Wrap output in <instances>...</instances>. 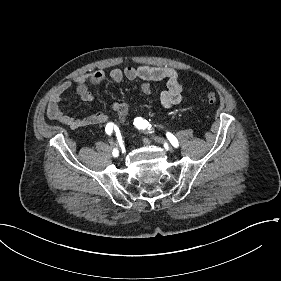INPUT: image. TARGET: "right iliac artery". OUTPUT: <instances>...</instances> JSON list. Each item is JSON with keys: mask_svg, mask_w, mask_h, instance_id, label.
<instances>
[{"mask_svg": "<svg viewBox=\"0 0 281 281\" xmlns=\"http://www.w3.org/2000/svg\"><path fill=\"white\" fill-rule=\"evenodd\" d=\"M113 128H115V125L113 123H108L105 128L106 133L111 135ZM113 155L114 157L118 156V150L116 148L113 150Z\"/></svg>", "mask_w": 281, "mask_h": 281, "instance_id": "obj_1", "label": "right iliac artery"}]
</instances>
